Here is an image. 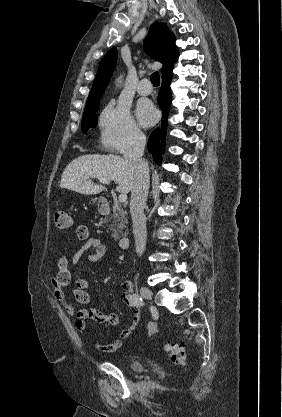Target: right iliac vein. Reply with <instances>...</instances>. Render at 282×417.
<instances>
[{
	"instance_id": "obj_1",
	"label": "right iliac vein",
	"mask_w": 282,
	"mask_h": 417,
	"mask_svg": "<svg viewBox=\"0 0 282 417\" xmlns=\"http://www.w3.org/2000/svg\"><path fill=\"white\" fill-rule=\"evenodd\" d=\"M140 293L146 299H152L153 297V292L145 286L141 287Z\"/></svg>"
}]
</instances>
